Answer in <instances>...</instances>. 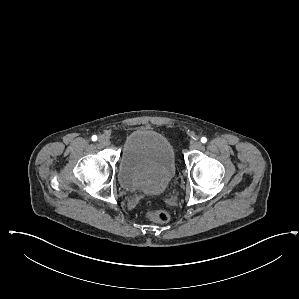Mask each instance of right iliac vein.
I'll list each match as a JSON object with an SVG mask.
<instances>
[{
	"label": "right iliac vein",
	"mask_w": 299,
	"mask_h": 299,
	"mask_svg": "<svg viewBox=\"0 0 299 299\" xmlns=\"http://www.w3.org/2000/svg\"><path fill=\"white\" fill-rule=\"evenodd\" d=\"M98 142L102 146H108L110 144V141L106 136H100L98 138Z\"/></svg>",
	"instance_id": "1"
}]
</instances>
